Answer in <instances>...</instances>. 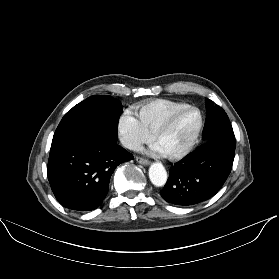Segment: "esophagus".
Listing matches in <instances>:
<instances>
[{
	"label": "esophagus",
	"mask_w": 279,
	"mask_h": 279,
	"mask_svg": "<svg viewBox=\"0 0 279 279\" xmlns=\"http://www.w3.org/2000/svg\"><path fill=\"white\" fill-rule=\"evenodd\" d=\"M136 161L142 165H149L150 161L148 159H145L143 157L137 156Z\"/></svg>",
	"instance_id": "34e87169"
}]
</instances>
